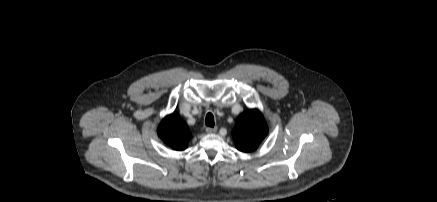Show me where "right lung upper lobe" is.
<instances>
[{"label":"right lung upper lobe","instance_id":"right-lung-upper-lobe-1","mask_svg":"<svg viewBox=\"0 0 437 202\" xmlns=\"http://www.w3.org/2000/svg\"><path fill=\"white\" fill-rule=\"evenodd\" d=\"M158 136L174 150L187 148L191 133L187 124L176 114L166 116L158 127Z\"/></svg>","mask_w":437,"mask_h":202}]
</instances>
